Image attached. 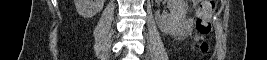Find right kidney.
<instances>
[{
	"instance_id": "ca27d5eb",
	"label": "right kidney",
	"mask_w": 267,
	"mask_h": 60,
	"mask_svg": "<svg viewBox=\"0 0 267 60\" xmlns=\"http://www.w3.org/2000/svg\"><path fill=\"white\" fill-rule=\"evenodd\" d=\"M75 7L83 18H92L103 8L105 0H74Z\"/></svg>"
}]
</instances>
